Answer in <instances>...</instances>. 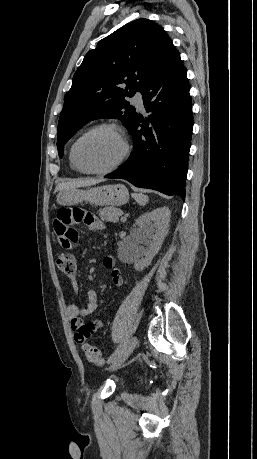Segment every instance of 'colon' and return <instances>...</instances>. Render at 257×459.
I'll return each instance as SVG.
<instances>
[{"mask_svg": "<svg viewBox=\"0 0 257 459\" xmlns=\"http://www.w3.org/2000/svg\"><path fill=\"white\" fill-rule=\"evenodd\" d=\"M56 264L59 271L66 275H74L76 272V260L72 253L60 254L56 260ZM83 352L88 361L97 365H102L104 363V359L99 349L94 345L84 344Z\"/></svg>", "mask_w": 257, "mask_h": 459, "instance_id": "5ec220e1", "label": "colon"}]
</instances>
